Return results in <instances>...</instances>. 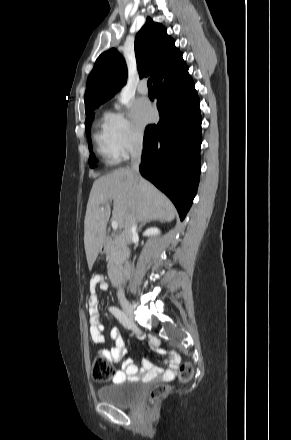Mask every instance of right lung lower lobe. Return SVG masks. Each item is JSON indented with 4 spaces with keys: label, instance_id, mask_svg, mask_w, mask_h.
<instances>
[{
    "label": "right lung lower lobe",
    "instance_id": "98d812e1",
    "mask_svg": "<svg viewBox=\"0 0 291 440\" xmlns=\"http://www.w3.org/2000/svg\"><path fill=\"white\" fill-rule=\"evenodd\" d=\"M154 89L160 121L145 129L140 173L172 200L183 220L199 184L200 101L187 65Z\"/></svg>",
    "mask_w": 291,
    "mask_h": 440
}]
</instances>
